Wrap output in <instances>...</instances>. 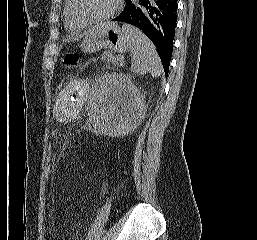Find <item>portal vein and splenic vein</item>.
<instances>
[{"label": "portal vein and splenic vein", "instance_id": "1", "mask_svg": "<svg viewBox=\"0 0 257 240\" xmlns=\"http://www.w3.org/2000/svg\"><path fill=\"white\" fill-rule=\"evenodd\" d=\"M118 60H119V61H122V60H123V57H118ZM121 65H122V62H121Z\"/></svg>", "mask_w": 257, "mask_h": 240}]
</instances>
